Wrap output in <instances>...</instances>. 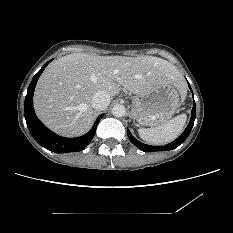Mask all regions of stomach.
<instances>
[{
    "mask_svg": "<svg viewBox=\"0 0 233 233\" xmlns=\"http://www.w3.org/2000/svg\"><path fill=\"white\" fill-rule=\"evenodd\" d=\"M179 92L174 84L162 85L132 99V114L140 126H160L179 107Z\"/></svg>",
    "mask_w": 233,
    "mask_h": 233,
    "instance_id": "obj_1",
    "label": "stomach"
}]
</instances>
